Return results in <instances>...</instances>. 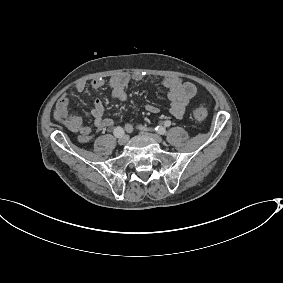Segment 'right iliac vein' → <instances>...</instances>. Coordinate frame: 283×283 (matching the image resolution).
I'll list each match as a JSON object with an SVG mask.
<instances>
[{
  "instance_id": "1",
  "label": "right iliac vein",
  "mask_w": 283,
  "mask_h": 283,
  "mask_svg": "<svg viewBox=\"0 0 283 283\" xmlns=\"http://www.w3.org/2000/svg\"><path fill=\"white\" fill-rule=\"evenodd\" d=\"M127 141H128V136L123 135L122 137H119L118 144L122 146V145H125Z\"/></svg>"
}]
</instances>
